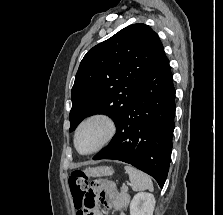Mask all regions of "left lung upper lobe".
Returning a JSON list of instances; mask_svg holds the SVG:
<instances>
[{
    "instance_id": "left-lung-upper-lobe-1",
    "label": "left lung upper lobe",
    "mask_w": 223,
    "mask_h": 215,
    "mask_svg": "<svg viewBox=\"0 0 223 215\" xmlns=\"http://www.w3.org/2000/svg\"><path fill=\"white\" fill-rule=\"evenodd\" d=\"M167 57L158 35L143 23L120 30L82 59L71 91L70 131L104 113L120 124L126 109Z\"/></svg>"
}]
</instances>
